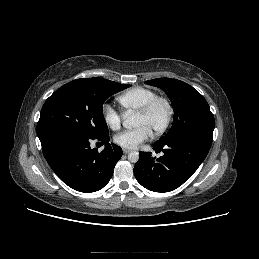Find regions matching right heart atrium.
Wrapping results in <instances>:
<instances>
[{
	"instance_id": "obj_1",
	"label": "right heart atrium",
	"mask_w": 259,
	"mask_h": 259,
	"mask_svg": "<svg viewBox=\"0 0 259 259\" xmlns=\"http://www.w3.org/2000/svg\"><path fill=\"white\" fill-rule=\"evenodd\" d=\"M102 118L105 124L112 130H118L121 127L122 116L110 104L106 103L101 109Z\"/></svg>"
}]
</instances>
